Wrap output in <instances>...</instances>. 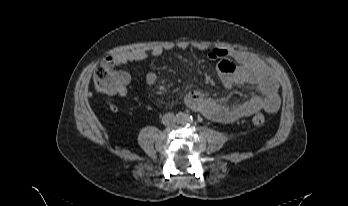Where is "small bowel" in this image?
<instances>
[{
    "instance_id": "c3829d8e",
    "label": "small bowel",
    "mask_w": 348,
    "mask_h": 206,
    "mask_svg": "<svg viewBox=\"0 0 348 206\" xmlns=\"http://www.w3.org/2000/svg\"><path fill=\"white\" fill-rule=\"evenodd\" d=\"M192 46L204 51L209 59L217 61V70L224 86L231 87L235 84L255 85L259 89L260 94L252 96L237 105L229 106L207 98L198 91H193L187 98L189 106L204 113L209 119L222 124L235 123L261 110L270 114L276 113L279 110L280 96L278 93V82L273 71L262 60L243 51H229L221 47L192 45L188 41H180L177 44L180 50H187ZM167 49L170 48H138L119 54L115 58V62L119 66H125L152 56H159ZM145 80L147 84L154 85L158 81V76L154 72H149ZM128 82L129 76L127 75V80L122 90L117 93L119 96L128 97V90L126 88Z\"/></svg>"
}]
</instances>
